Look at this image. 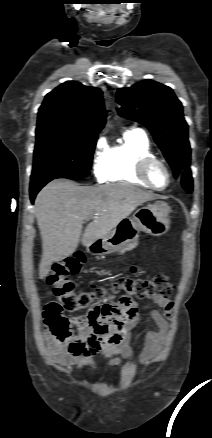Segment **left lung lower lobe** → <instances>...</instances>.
I'll use <instances>...</instances> for the list:
<instances>
[{
    "label": "left lung lower lobe",
    "mask_w": 212,
    "mask_h": 438,
    "mask_svg": "<svg viewBox=\"0 0 212 438\" xmlns=\"http://www.w3.org/2000/svg\"><path fill=\"white\" fill-rule=\"evenodd\" d=\"M181 181L184 189L188 192H191L193 184H192V175L190 168H187L186 170L183 171L181 175Z\"/></svg>",
    "instance_id": "0a47b994"
}]
</instances>
